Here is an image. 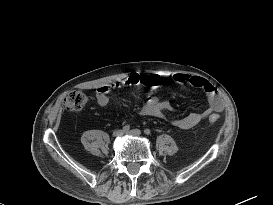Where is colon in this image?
<instances>
[{
	"instance_id": "1",
	"label": "colon",
	"mask_w": 273,
	"mask_h": 205,
	"mask_svg": "<svg viewBox=\"0 0 273 205\" xmlns=\"http://www.w3.org/2000/svg\"><path fill=\"white\" fill-rule=\"evenodd\" d=\"M88 101V95L83 90H72L66 93L63 97V104L69 111H78L85 107ZM211 123H216L219 116L212 114L209 117Z\"/></svg>"
}]
</instances>
